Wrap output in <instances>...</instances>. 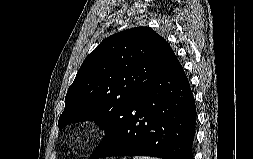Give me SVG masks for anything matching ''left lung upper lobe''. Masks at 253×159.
I'll use <instances>...</instances> for the list:
<instances>
[{
  "mask_svg": "<svg viewBox=\"0 0 253 159\" xmlns=\"http://www.w3.org/2000/svg\"><path fill=\"white\" fill-rule=\"evenodd\" d=\"M174 57L166 40L149 27L131 28L104 39L86 57L69 87L59 129L91 120L108 137L124 109Z\"/></svg>",
  "mask_w": 253,
  "mask_h": 159,
  "instance_id": "left-lung-upper-lobe-1",
  "label": "left lung upper lobe"
}]
</instances>
